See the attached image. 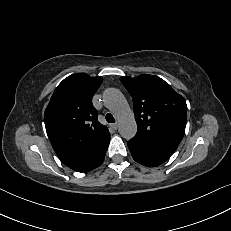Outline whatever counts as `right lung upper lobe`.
Listing matches in <instances>:
<instances>
[{
	"instance_id": "cb5924a9",
	"label": "right lung upper lobe",
	"mask_w": 231,
	"mask_h": 231,
	"mask_svg": "<svg viewBox=\"0 0 231 231\" xmlns=\"http://www.w3.org/2000/svg\"><path fill=\"white\" fill-rule=\"evenodd\" d=\"M102 80L85 73L68 76L58 85L45 110L52 147L60 160L75 171L92 165L110 139L92 104Z\"/></svg>"
}]
</instances>
